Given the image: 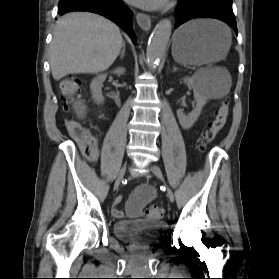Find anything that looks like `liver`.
Instances as JSON below:
<instances>
[{"instance_id":"obj_1","label":"liver","mask_w":279,"mask_h":279,"mask_svg":"<svg viewBox=\"0 0 279 279\" xmlns=\"http://www.w3.org/2000/svg\"><path fill=\"white\" fill-rule=\"evenodd\" d=\"M123 45L117 25L87 12L69 13L56 23L50 46L52 76L60 80L69 74L107 70Z\"/></svg>"}]
</instances>
